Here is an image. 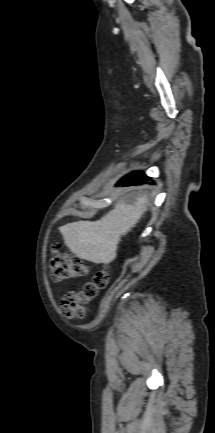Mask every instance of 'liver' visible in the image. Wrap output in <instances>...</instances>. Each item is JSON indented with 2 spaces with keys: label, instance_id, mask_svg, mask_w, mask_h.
Listing matches in <instances>:
<instances>
[{
  "label": "liver",
  "instance_id": "6515ba94",
  "mask_svg": "<svg viewBox=\"0 0 215 433\" xmlns=\"http://www.w3.org/2000/svg\"><path fill=\"white\" fill-rule=\"evenodd\" d=\"M149 205L146 194L133 204L117 203L98 221H78L59 228L66 246L77 257L96 263L108 264L117 255L118 244L139 222Z\"/></svg>",
  "mask_w": 215,
  "mask_h": 433
}]
</instances>
